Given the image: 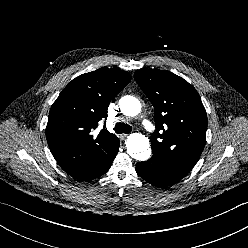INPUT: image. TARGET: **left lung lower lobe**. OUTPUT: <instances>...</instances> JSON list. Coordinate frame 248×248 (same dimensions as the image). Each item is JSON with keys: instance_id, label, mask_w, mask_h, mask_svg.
Masks as SVG:
<instances>
[{"instance_id": "1", "label": "left lung lower lobe", "mask_w": 248, "mask_h": 248, "mask_svg": "<svg viewBox=\"0 0 248 248\" xmlns=\"http://www.w3.org/2000/svg\"><path fill=\"white\" fill-rule=\"evenodd\" d=\"M136 171L144 180L160 188L177 183L186 176L155 155L148 161L138 162Z\"/></svg>"}]
</instances>
